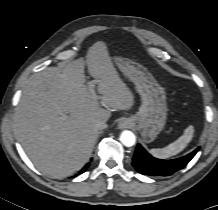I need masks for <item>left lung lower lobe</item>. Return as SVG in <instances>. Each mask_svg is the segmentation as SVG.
Here are the masks:
<instances>
[{
  "label": "left lung lower lobe",
  "instance_id": "obj_1",
  "mask_svg": "<svg viewBox=\"0 0 218 210\" xmlns=\"http://www.w3.org/2000/svg\"><path fill=\"white\" fill-rule=\"evenodd\" d=\"M199 149L200 147L178 159L161 160L152 157L140 144H138L132 159V165L136 171L143 175L169 176L184 168Z\"/></svg>",
  "mask_w": 218,
  "mask_h": 210
}]
</instances>
